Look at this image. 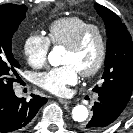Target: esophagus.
Returning a JSON list of instances; mask_svg holds the SVG:
<instances>
[{
    "label": "esophagus",
    "instance_id": "obj_1",
    "mask_svg": "<svg viewBox=\"0 0 133 133\" xmlns=\"http://www.w3.org/2000/svg\"><path fill=\"white\" fill-rule=\"evenodd\" d=\"M58 101L62 104H70L71 101L70 100H67V99H62V98H59Z\"/></svg>",
    "mask_w": 133,
    "mask_h": 133
}]
</instances>
